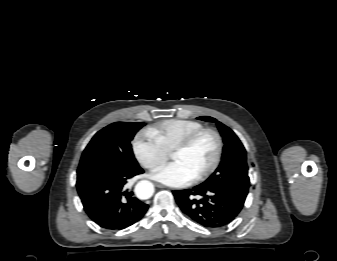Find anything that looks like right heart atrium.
Returning a JSON list of instances; mask_svg holds the SVG:
<instances>
[{
    "label": "right heart atrium",
    "mask_w": 337,
    "mask_h": 261,
    "mask_svg": "<svg viewBox=\"0 0 337 261\" xmlns=\"http://www.w3.org/2000/svg\"><path fill=\"white\" fill-rule=\"evenodd\" d=\"M133 151L138 161L147 169H153L166 161L169 153L149 131H140L134 138Z\"/></svg>",
    "instance_id": "1"
}]
</instances>
